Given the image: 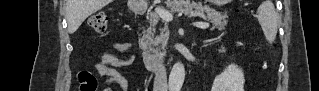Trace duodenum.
Instances as JSON below:
<instances>
[{
	"instance_id": "obj_1",
	"label": "duodenum",
	"mask_w": 319,
	"mask_h": 91,
	"mask_svg": "<svg viewBox=\"0 0 319 91\" xmlns=\"http://www.w3.org/2000/svg\"><path fill=\"white\" fill-rule=\"evenodd\" d=\"M138 14H143L144 10L139 8L136 10ZM139 51L141 54V58L143 63L148 71H154L157 68H160L165 63V55L163 54H150L146 52L142 46H139Z\"/></svg>"
}]
</instances>
